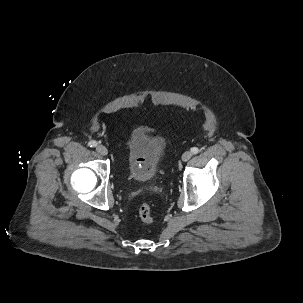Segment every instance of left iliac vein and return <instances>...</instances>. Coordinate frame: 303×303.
I'll list each match as a JSON object with an SVG mask.
<instances>
[{"instance_id": "1", "label": "left iliac vein", "mask_w": 303, "mask_h": 303, "mask_svg": "<svg viewBox=\"0 0 303 303\" xmlns=\"http://www.w3.org/2000/svg\"><path fill=\"white\" fill-rule=\"evenodd\" d=\"M191 157H192V152L191 151H186L182 155V160L184 162H187L188 160H190Z\"/></svg>"}]
</instances>
